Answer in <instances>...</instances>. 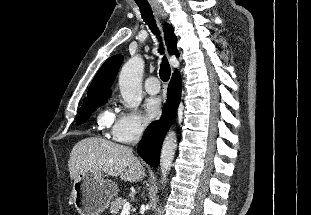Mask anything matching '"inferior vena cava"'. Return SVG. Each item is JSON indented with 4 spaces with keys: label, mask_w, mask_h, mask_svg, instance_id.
Instances as JSON below:
<instances>
[{
    "label": "inferior vena cava",
    "mask_w": 311,
    "mask_h": 215,
    "mask_svg": "<svg viewBox=\"0 0 311 215\" xmlns=\"http://www.w3.org/2000/svg\"><path fill=\"white\" fill-rule=\"evenodd\" d=\"M143 129L141 127H136L133 131V145H136L141 137Z\"/></svg>",
    "instance_id": "1"
}]
</instances>
